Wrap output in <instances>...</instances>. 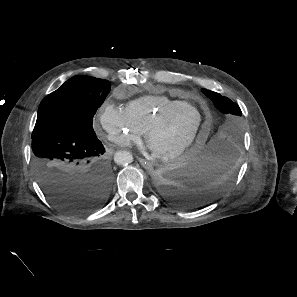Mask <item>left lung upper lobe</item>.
<instances>
[{"label":"left lung upper lobe","instance_id":"obj_1","mask_svg":"<svg viewBox=\"0 0 297 297\" xmlns=\"http://www.w3.org/2000/svg\"><path fill=\"white\" fill-rule=\"evenodd\" d=\"M202 92L212 100L216 108L222 113L220 123L211 136V140L218 142L227 149L237 150L242 138L241 109L236 103L219 93L206 89H202Z\"/></svg>","mask_w":297,"mask_h":297}]
</instances>
